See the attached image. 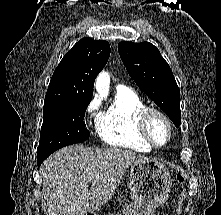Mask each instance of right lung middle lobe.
<instances>
[{"mask_svg":"<svg viewBox=\"0 0 221 215\" xmlns=\"http://www.w3.org/2000/svg\"><path fill=\"white\" fill-rule=\"evenodd\" d=\"M89 103L69 100L44 104L37 158L48 157L64 146L88 139L90 132L83 119Z\"/></svg>","mask_w":221,"mask_h":215,"instance_id":"1","label":"right lung middle lobe"}]
</instances>
